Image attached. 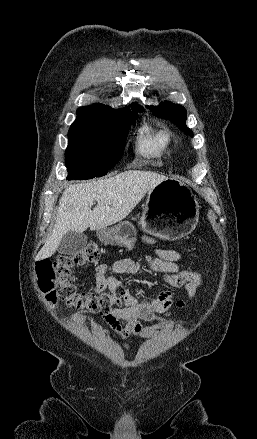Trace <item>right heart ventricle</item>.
Returning <instances> with one entry per match:
<instances>
[{
    "mask_svg": "<svg viewBox=\"0 0 257 439\" xmlns=\"http://www.w3.org/2000/svg\"><path fill=\"white\" fill-rule=\"evenodd\" d=\"M171 143L169 131L162 129L151 131L145 128L138 140L140 152L148 157H160Z\"/></svg>",
    "mask_w": 257,
    "mask_h": 439,
    "instance_id": "e07e8e85",
    "label": "right heart ventricle"
}]
</instances>
